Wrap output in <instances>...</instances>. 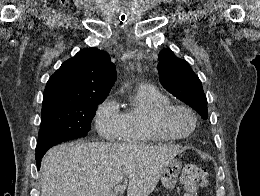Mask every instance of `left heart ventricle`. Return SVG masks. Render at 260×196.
Here are the masks:
<instances>
[{
  "label": "left heart ventricle",
  "instance_id": "obj_1",
  "mask_svg": "<svg viewBox=\"0 0 260 196\" xmlns=\"http://www.w3.org/2000/svg\"><path fill=\"white\" fill-rule=\"evenodd\" d=\"M157 111L158 110L153 111L152 120L156 117ZM166 124L174 131L183 133L191 128L192 120L181 111H172L166 119Z\"/></svg>",
  "mask_w": 260,
  "mask_h": 196
}]
</instances>
